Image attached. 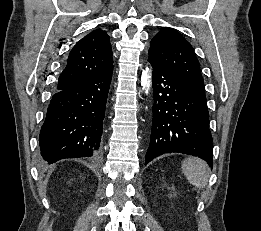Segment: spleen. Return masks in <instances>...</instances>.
Masks as SVG:
<instances>
[{"label":"spleen","instance_id":"obj_1","mask_svg":"<svg viewBox=\"0 0 261 231\" xmlns=\"http://www.w3.org/2000/svg\"><path fill=\"white\" fill-rule=\"evenodd\" d=\"M182 171L188 181L197 188H203L208 182V166L198 158H188L182 163Z\"/></svg>","mask_w":261,"mask_h":231}]
</instances>
